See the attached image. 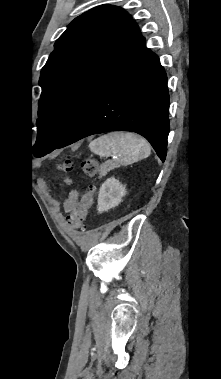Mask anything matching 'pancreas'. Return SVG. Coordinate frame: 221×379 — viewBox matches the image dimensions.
<instances>
[{
    "label": "pancreas",
    "mask_w": 221,
    "mask_h": 379,
    "mask_svg": "<svg viewBox=\"0 0 221 379\" xmlns=\"http://www.w3.org/2000/svg\"><path fill=\"white\" fill-rule=\"evenodd\" d=\"M117 165L115 163H103L101 166H100V177L102 176H105L107 174V172L113 170L114 168H116Z\"/></svg>",
    "instance_id": "1"
}]
</instances>
